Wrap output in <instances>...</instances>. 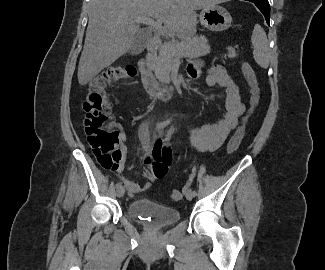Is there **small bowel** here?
I'll list each match as a JSON object with an SVG mask.
<instances>
[{
	"label": "small bowel",
	"mask_w": 325,
	"mask_h": 270,
	"mask_svg": "<svg viewBox=\"0 0 325 270\" xmlns=\"http://www.w3.org/2000/svg\"><path fill=\"white\" fill-rule=\"evenodd\" d=\"M206 83L208 86H220L226 89L225 112L222 118L215 122L195 127L187 130L189 145L199 152H212L218 149L226 140L229 133L238 125L241 117L245 113V105L241 101L237 85L231 80L225 69L218 64H213L206 70ZM191 78L197 79L202 75L199 65H191L188 69ZM120 131L121 153L120 163L113 169L120 172L124 168L126 159V134L121 125L118 126ZM147 169L144 176L147 179L145 184H138L125 176L120 179L132 195H136L151 187V184L159 178L165 176L172 162V154L169 148L162 142L155 144L151 153L147 154L144 159ZM105 168V167H104Z\"/></svg>",
	"instance_id": "obj_1"
}]
</instances>
